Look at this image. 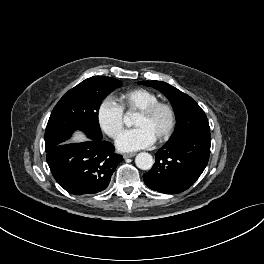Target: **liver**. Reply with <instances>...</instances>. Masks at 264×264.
Segmentation results:
<instances>
[{
  "label": "liver",
  "instance_id": "liver-1",
  "mask_svg": "<svg viewBox=\"0 0 264 264\" xmlns=\"http://www.w3.org/2000/svg\"><path fill=\"white\" fill-rule=\"evenodd\" d=\"M86 140L85 134L81 131H76L72 136V142H84Z\"/></svg>",
  "mask_w": 264,
  "mask_h": 264
}]
</instances>
